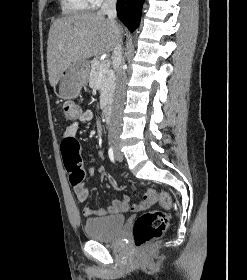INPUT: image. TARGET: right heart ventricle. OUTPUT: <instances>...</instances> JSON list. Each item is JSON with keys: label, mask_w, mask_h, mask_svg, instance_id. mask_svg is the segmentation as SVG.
Returning a JSON list of instances; mask_svg holds the SVG:
<instances>
[{"label": "right heart ventricle", "mask_w": 247, "mask_h": 280, "mask_svg": "<svg viewBox=\"0 0 247 280\" xmlns=\"http://www.w3.org/2000/svg\"><path fill=\"white\" fill-rule=\"evenodd\" d=\"M91 7L90 0H61L62 11L66 15L83 13Z\"/></svg>", "instance_id": "obj_1"}]
</instances>
